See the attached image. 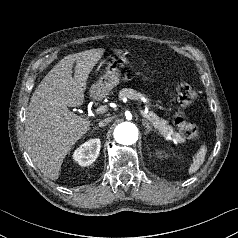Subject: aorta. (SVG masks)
<instances>
[{
	"label": "aorta",
	"instance_id": "1",
	"mask_svg": "<svg viewBox=\"0 0 238 238\" xmlns=\"http://www.w3.org/2000/svg\"><path fill=\"white\" fill-rule=\"evenodd\" d=\"M114 138L119 144L132 145L138 139V129L131 122H123L115 128Z\"/></svg>",
	"mask_w": 238,
	"mask_h": 238
}]
</instances>
